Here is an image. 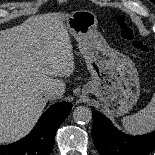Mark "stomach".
Instances as JSON below:
<instances>
[{
	"label": "stomach",
	"instance_id": "0dacf381",
	"mask_svg": "<svg viewBox=\"0 0 155 155\" xmlns=\"http://www.w3.org/2000/svg\"><path fill=\"white\" fill-rule=\"evenodd\" d=\"M64 25L77 41L92 76L83 86V93L95 95L113 116L128 113L140 95L139 76L133 61L110 48L97 32V20L92 13H73L66 16Z\"/></svg>",
	"mask_w": 155,
	"mask_h": 155
}]
</instances>
